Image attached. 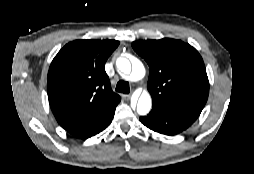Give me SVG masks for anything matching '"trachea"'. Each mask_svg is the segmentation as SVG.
I'll use <instances>...</instances> for the list:
<instances>
[{"mask_svg": "<svg viewBox=\"0 0 254 174\" xmlns=\"http://www.w3.org/2000/svg\"><path fill=\"white\" fill-rule=\"evenodd\" d=\"M116 91L128 94L130 92V85L126 81H119L116 85Z\"/></svg>", "mask_w": 254, "mask_h": 174, "instance_id": "1", "label": "trachea"}]
</instances>
